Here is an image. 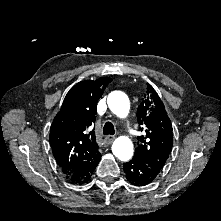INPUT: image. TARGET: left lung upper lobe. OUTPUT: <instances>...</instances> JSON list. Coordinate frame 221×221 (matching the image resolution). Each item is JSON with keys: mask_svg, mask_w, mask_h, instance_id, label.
Masks as SVG:
<instances>
[{"mask_svg": "<svg viewBox=\"0 0 221 221\" xmlns=\"http://www.w3.org/2000/svg\"><path fill=\"white\" fill-rule=\"evenodd\" d=\"M137 120L141 131L145 133L137 137L140 145L135 149L133 158L159 173L173 145L172 125L163 102L148 83L144 99L137 110Z\"/></svg>", "mask_w": 221, "mask_h": 221, "instance_id": "1", "label": "left lung upper lobe"}]
</instances>
